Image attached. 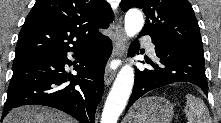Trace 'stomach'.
<instances>
[{
	"label": "stomach",
	"instance_id": "obj_1",
	"mask_svg": "<svg viewBox=\"0 0 221 123\" xmlns=\"http://www.w3.org/2000/svg\"><path fill=\"white\" fill-rule=\"evenodd\" d=\"M174 106L165 98L151 96L138 100L129 110L125 123H170Z\"/></svg>",
	"mask_w": 221,
	"mask_h": 123
}]
</instances>
